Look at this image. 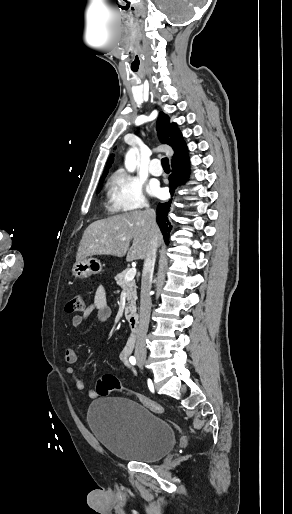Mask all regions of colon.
Returning a JSON list of instances; mask_svg holds the SVG:
<instances>
[{"label":"colon","mask_w":292,"mask_h":514,"mask_svg":"<svg viewBox=\"0 0 292 514\" xmlns=\"http://www.w3.org/2000/svg\"><path fill=\"white\" fill-rule=\"evenodd\" d=\"M84 302L83 297L81 295H75L73 296L69 301L66 303V312L67 313H77L83 311ZM96 390H98V393L102 397L108 396L112 391L114 392H130V387H124L121 381L112 374H106L101 376L98 379ZM137 400L140 402L145 408H147L149 411L157 413V414H163L165 409L164 407L157 403L156 401L145 397L143 395L137 394Z\"/></svg>","instance_id":"obj_1"}]
</instances>
